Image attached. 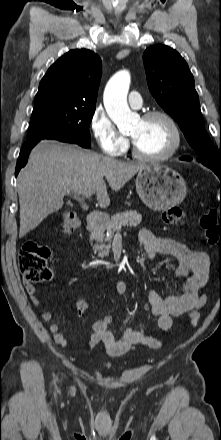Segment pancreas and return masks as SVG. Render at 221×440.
<instances>
[{"label": "pancreas", "mask_w": 221, "mask_h": 440, "mask_svg": "<svg viewBox=\"0 0 221 440\" xmlns=\"http://www.w3.org/2000/svg\"><path fill=\"white\" fill-rule=\"evenodd\" d=\"M142 221V216L137 211L127 210L121 213H116L108 220L103 226L99 227L95 231L91 233V240L96 241L97 243H101L100 246L95 245L94 248L96 250H103V255H108L110 246L103 245V241L111 242L113 234L122 229V227L130 226L136 227ZM107 231L109 233L108 236L104 234Z\"/></svg>", "instance_id": "1"}]
</instances>
